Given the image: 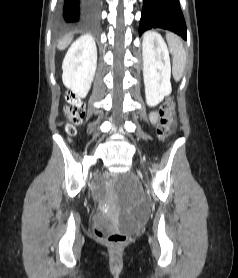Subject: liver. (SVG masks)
I'll return each mask as SVG.
<instances>
[{"mask_svg":"<svg viewBox=\"0 0 238 278\" xmlns=\"http://www.w3.org/2000/svg\"><path fill=\"white\" fill-rule=\"evenodd\" d=\"M72 41V37L71 36H66L63 39H60V41L58 42V49L63 50L65 48L68 47V45L71 43Z\"/></svg>","mask_w":238,"mask_h":278,"instance_id":"obj_1","label":"liver"}]
</instances>
